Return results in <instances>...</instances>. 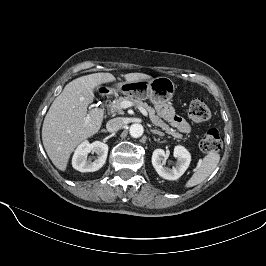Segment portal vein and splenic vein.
<instances>
[{
    "instance_id": "portal-vein-and-splenic-vein-1",
    "label": "portal vein and splenic vein",
    "mask_w": 266,
    "mask_h": 266,
    "mask_svg": "<svg viewBox=\"0 0 266 266\" xmlns=\"http://www.w3.org/2000/svg\"><path fill=\"white\" fill-rule=\"evenodd\" d=\"M131 106H133V104L130 101L125 100V101L121 102V108L122 109H127V108H129ZM138 109L140 110V112L144 116H147L148 115L147 111L143 107H138Z\"/></svg>"
}]
</instances>
